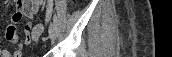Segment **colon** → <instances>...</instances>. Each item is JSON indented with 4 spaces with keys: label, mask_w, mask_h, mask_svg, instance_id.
<instances>
[{
    "label": "colon",
    "mask_w": 172,
    "mask_h": 57,
    "mask_svg": "<svg viewBox=\"0 0 172 57\" xmlns=\"http://www.w3.org/2000/svg\"><path fill=\"white\" fill-rule=\"evenodd\" d=\"M34 30L38 33H42L44 30V26L42 24H38L35 26Z\"/></svg>",
    "instance_id": "1"
}]
</instances>
